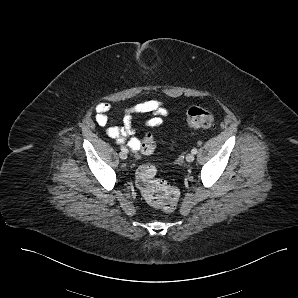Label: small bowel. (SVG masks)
<instances>
[{
  "label": "small bowel",
  "instance_id": "obj_1",
  "mask_svg": "<svg viewBox=\"0 0 298 298\" xmlns=\"http://www.w3.org/2000/svg\"><path fill=\"white\" fill-rule=\"evenodd\" d=\"M110 110L111 105L109 103H100L97 105L95 119L99 126L104 127L107 125ZM139 114H150L151 117L146 120V126L158 127L162 125L164 117L169 115V111L164 103L158 100L140 102L125 109L122 113V126L107 128V135L114 139L117 144L127 143L132 150L139 151L140 140L133 137L135 130L132 124L134 117Z\"/></svg>",
  "mask_w": 298,
  "mask_h": 298
}]
</instances>
